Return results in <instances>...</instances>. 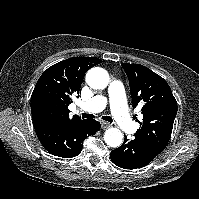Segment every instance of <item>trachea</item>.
Returning a JSON list of instances; mask_svg holds the SVG:
<instances>
[{
    "mask_svg": "<svg viewBox=\"0 0 199 199\" xmlns=\"http://www.w3.org/2000/svg\"><path fill=\"white\" fill-rule=\"evenodd\" d=\"M95 116L93 114H87V113H83L82 114V118H94ZM103 120L108 121V122H113L112 118L110 116H103L102 117Z\"/></svg>",
    "mask_w": 199,
    "mask_h": 199,
    "instance_id": "3493384b",
    "label": "trachea"
}]
</instances>
